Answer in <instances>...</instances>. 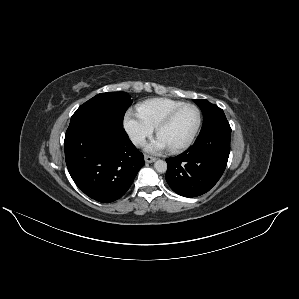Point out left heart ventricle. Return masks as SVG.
<instances>
[{
    "instance_id": "obj_1",
    "label": "left heart ventricle",
    "mask_w": 299,
    "mask_h": 299,
    "mask_svg": "<svg viewBox=\"0 0 299 299\" xmlns=\"http://www.w3.org/2000/svg\"><path fill=\"white\" fill-rule=\"evenodd\" d=\"M197 120V111L193 107H186L161 130L159 136L167 142L170 148L178 146L189 139L196 127Z\"/></svg>"
}]
</instances>
